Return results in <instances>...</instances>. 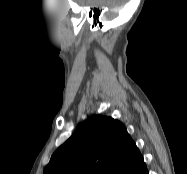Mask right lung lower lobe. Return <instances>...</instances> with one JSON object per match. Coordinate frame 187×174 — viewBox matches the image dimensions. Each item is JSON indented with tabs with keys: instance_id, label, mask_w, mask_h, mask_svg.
<instances>
[{
	"instance_id": "obj_1",
	"label": "right lung lower lobe",
	"mask_w": 187,
	"mask_h": 174,
	"mask_svg": "<svg viewBox=\"0 0 187 174\" xmlns=\"http://www.w3.org/2000/svg\"><path fill=\"white\" fill-rule=\"evenodd\" d=\"M140 174H148L147 169L143 170Z\"/></svg>"
}]
</instances>
